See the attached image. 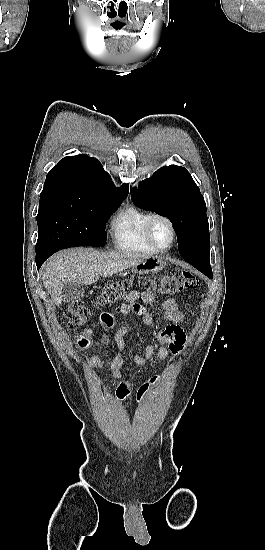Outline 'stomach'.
Here are the masks:
<instances>
[{"label": "stomach", "mask_w": 265, "mask_h": 550, "mask_svg": "<svg viewBox=\"0 0 265 550\" xmlns=\"http://www.w3.org/2000/svg\"><path fill=\"white\" fill-rule=\"evenodd\" d=\"M166 262L159 257H148L135 266H133V272L138 274L157 273L164 269Z\"/></svg>", "instance_id": "0dacf381"}]
</instances>
